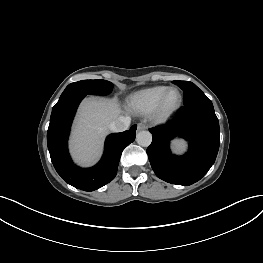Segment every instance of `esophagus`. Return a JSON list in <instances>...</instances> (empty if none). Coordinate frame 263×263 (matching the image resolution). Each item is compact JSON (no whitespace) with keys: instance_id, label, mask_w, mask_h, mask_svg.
<instances>
[{"instance_id":"esophagus-1","label":"esophagus","mask_w":263,"mask_h":263,"mask_svg":"<svg viewBox=\"0 0 263 263\" xmlns=\"http://www.w3.org/2000/svg\"><path fill=\"white\" fill-rule=\"evenodd\" d=\"M137 129L140 131V130H145V129H147V125L146 124H144V123H139L138 125H137Z\"/></svg>"}]
</instances>
